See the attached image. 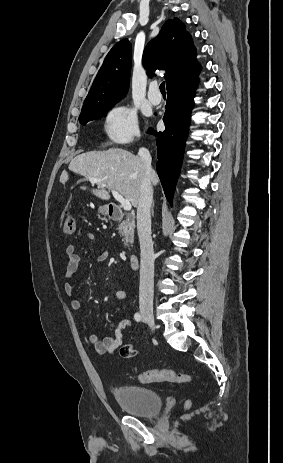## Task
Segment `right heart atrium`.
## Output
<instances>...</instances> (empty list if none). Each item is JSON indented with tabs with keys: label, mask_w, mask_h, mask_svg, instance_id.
<instances>
[{
	"label": "right heart atrium",
	"mask_w": 283,
	"mask_h": 463,
	"mask_svg": "<svg viewBox=\"0 0 283 463\" xmlns=\"http://www.w3.org/2000/svg\"><path fill=\"white\" fill-rule=\"evenodd\" d=\"M103 131L107 141L113 144H126L137 140L140 130L135 110L126 105L113 107L104 118Z\"/></svg>",
	"instance_id": "right-heart-atrium-1"
}]
</instances>
